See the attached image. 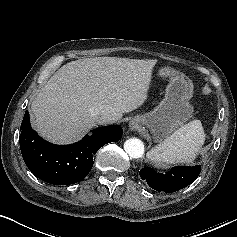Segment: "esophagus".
<instances>
[{"label":"esophagus","mask_w":237,"mask_h":237,"mask_svg":"<svg viewBox=\"0 0 237 237\" xmlns=\"http://www.w3.org/2000/svg\"><path fill=\"white\" fill-rule=\"evenodd\" d=\"M129 128L131 131H135L138 128V123L135 121L130 122Z\"/></svg>","instance_id":"34e87169"}]
</instances>
